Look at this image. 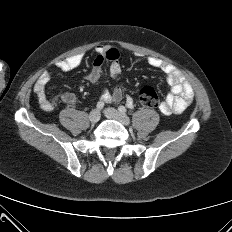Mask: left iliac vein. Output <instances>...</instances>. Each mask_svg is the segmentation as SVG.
<instances>
[{
  "label": "left iliac vein",
  "instance_id": "4c4485c4",
  "mask_svg": "<svg viewBox=\"0 0 232 232\" xmlns=\"http://www.w3.org/2000/svg\"><path fill=\"white\" fill-rule=\"evenodd\" d=\"M104 114L107 118L117 120L125 126L130 124V119L125 113L117 111L113 108L105 109Z\"/></svg>",
  "mask_w": 232,
  "mask_h": 232
}]
</instances>
